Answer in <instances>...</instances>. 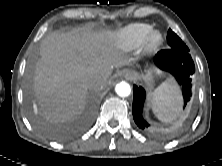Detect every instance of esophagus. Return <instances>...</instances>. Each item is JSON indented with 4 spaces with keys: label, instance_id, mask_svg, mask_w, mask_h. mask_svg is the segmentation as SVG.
<instances>
[{
    "label": "esophagus",
    "instance_id": "34e87169",
    "mask_svg": "<svg viewBox=\"0 0 222 166\" xmlns=\"http://www.w3.org/2000/svg\"><path fill=\"white\" fill-rule=\"evenodd\" d=\"M123 75H124V76H128V75H130V72H129V71H124V72H123Z\"/></svg>",
    "mask_w": 222,
    "mask_h": 166
}]
</instances>
